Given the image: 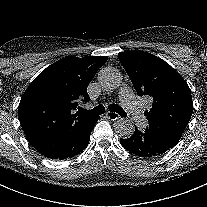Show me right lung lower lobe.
<instances>
[{
	"instance_id": "98d812e1",
	"label": "right lung lower lobe",
	"mask_w": 207,
	"mask_h": 207,
	"mask_svg": "<svg viewBox=\"0 0 207 207\" xmlns=\"http://www.w3.org/2000/svg\"><path fill=\"white\" fill-rule=\"evenodd\" d=\"M98 119L99 116H90L88 119L81 121L80 124L72 127L55 147L41 154L47 158L57 160L79 154L87 147L90 134Z\"/></svg>"
}]
</instances>
